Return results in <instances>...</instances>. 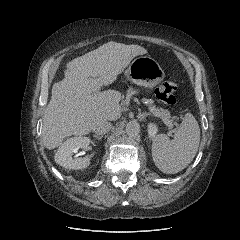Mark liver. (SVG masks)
Instances as JSON below:
<instances>
[{
	"label": "liver",
	"instance_id": "1",
	"mask_svg": "<svg viewBox=\"0 0 240 240\" xmlns=\"http://www.w3.org/2000/svg\"><path fill=\"white\" fill-rule=\"evenodd\" d=\"M146 53L141 46L111 41L70 61L65 78L53 85L43 115L44 146L54 149L66 137L89 134L97 122L120 118V92L100 88L112 84L134 57Z\"/></svg>",
	"mask_w": 240,
	"mask_h": 240
}]
</instances>
